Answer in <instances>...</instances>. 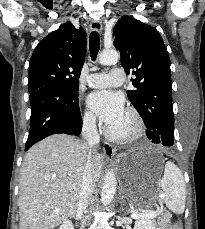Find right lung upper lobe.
Returning a JSON list of instances; mask_svg holds the SVG:
<instances>
[{"instance_id":"cb5924a9","label":"right lung upper lobe","mask_w":205,"mask_h":229,"mask_svg":"<svg viewBox=\"0 0 205 229\" xmlns=\"http://www.w3.org/2000/svg\"><path fill=\"white\" fill-rule=\"evenodd\" d=\"M86 33L62 24L36 46L29 64V93L45 86L77 83L86 54Z\"/></svg>"}]
</instances>
